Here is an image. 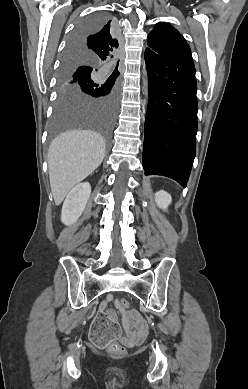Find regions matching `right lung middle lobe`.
Listing matches in <instances>:
<instances>
[{"label":"right lung middle lobe","mask_w":248,"mask_h":389,"mask_svg":"<svg viewBox=\"0 0 248 389\" xmlns=\"http://www.w3.org/2000/svg\"><path fill=\"white\" fill-rule=\"evenodd\" d=\"M107 22L104 13L89 16L78 25L69 45L98 31ZM77 70L85 71L76 74ZM59 84L50 137L69 129L91 128L108 142L119 94L117 76H112L108 67L88 61L87 56L65 52Z\"/></svg>","instance_id":"right-lung-middle-lobe-1"}]
</instances>
